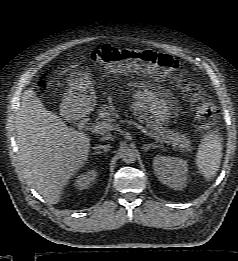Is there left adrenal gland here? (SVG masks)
<instances>
[{"instance_id":"a2214340","label":"left adrenal gland","mask_w":238,"mask_h":261,"mask_svg":"<svg viewBox=\"0 0 238 261\" xmlns=\"http://www.w3.org/2000/svg\"><path fill=\"white\" fill-rule=\"evenodd\" d=\"M161 147V145H157V144H145L143 146V150L144 152H147L148 150H150L151 148H159Z\"/></svg>"}]
</instances>
